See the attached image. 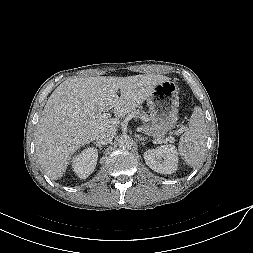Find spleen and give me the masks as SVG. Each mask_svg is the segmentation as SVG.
Wrapping results in <instances>:
<instances>
[{
	"instance_id": "1",
	"label": "spleen",
	"mask_w": 253,
	"mask_h": 253,
	"mask_svg": "<svg viewBox=\"0 0 253 253\" xmlns=\"http://www.w3.org/2000/svg\"><path fill=\"white\" fill-rule=\"evenodd\" d=\"M206 138L203 112L199 106H196L190 117L189 126L181 136L178 146L179 154L193 168L200 167L203 164Z\"/></svg>"
}]
</instances>
